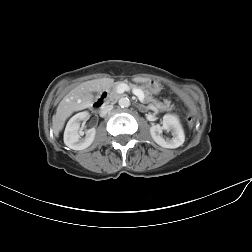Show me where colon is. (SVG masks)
Segmentation results:
<instances>
[{
	"label": "colon",
	"mask_w": 252,
	"mask_h": 252,
	"mask_svg": "<svg viewBox=\"0 0 252 252\" xmlns=\"http://www.w3.org/2000/svg\"><path fill=\"white\" fill-rule=\"evenodd\" d=\"M194 120H195V119H194L193 115H190L189 118H188L189 124H190V125H193Z\"/></svg>",
	"instance_id": "colon-1"
}]
</instances>
